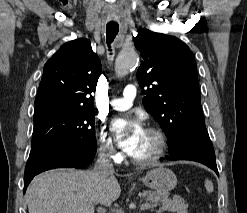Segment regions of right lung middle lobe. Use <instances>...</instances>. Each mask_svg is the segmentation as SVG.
<instances>
[{"instance_id": "1", "label": "right lung middle lobe", "mask_w": 247, "mask_h": 213, "mask_svg": "<svg viewBox=\"0 0 247 213\" xmlns=\"http://www.w3.org/2000/svg\"><path fill=\"white\" fill-rule=\"evenodd\" d=\"M30 154L53 143L69 140L76 149H95V112L54 107L34 112Z\"/></svg>"}]
</instances>
